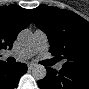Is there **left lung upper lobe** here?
<instances>
[{
	"mask_svg": "<svg viewBox=\"0 0 89 89\" xmlns=\"http://www.w3.org/2000/svg\"><path fill=\"white\" fill-rule=\"evenodd\" d=\"M31 14L47 34L53 59H65L63 69L89 72V23L71 11L46 5L32 9Z\"/></svg>",
	"mask_w": 89,
	"mask_h": 89,
	"instance_id": "1",
	"label": "left lung upper lobe"
}]
</instances>
